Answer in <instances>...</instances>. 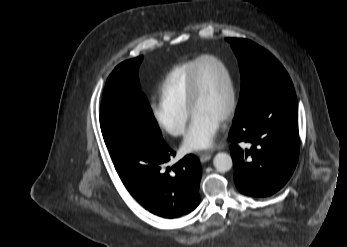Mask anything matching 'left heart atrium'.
<instances>
[{"label": "left heart atrium", "mask_w": 347, "mask_h": 247, "mask_svg": "<svg viewBox=\"0 0 347 247\" xmlns=\"http://www.w3.org/2000/svg\"><path fill=\"white\" fill-rule=\"evenodd\" d=\"M221 120L204 115L193 114L188 132L182 144V151L191 153L209 148L220 129Z\"/></svg>", "instance_id": "obj_1"}]
</instances>
